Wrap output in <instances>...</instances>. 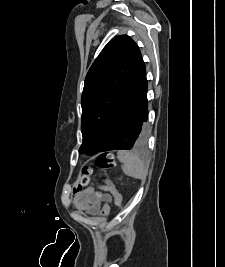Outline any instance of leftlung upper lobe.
I'll use <instances>...</instances> for the list:
<instances>
[{
	"label": "left lung upper lobe",
	"instance_id": "1",
	"mask_svg": "<svg viewBox=\"0 0 225 267\" xmlns=\"http://www.w3.org/2000/svg\"><path fill=\"white\" fill-rule=\"evenodd\" d=\"M137 44L127 35L112 39L90 67L82 93L80 153L100 152L113 133L119 109L129 82L141 60ZM147 137V124L134 148L142 146Z\"/></svg>",
	"mask_w": 225,
	"mask_h": 267
}]
</instances>
